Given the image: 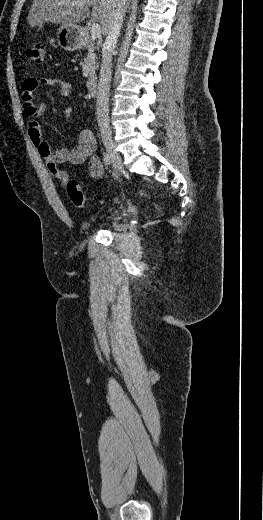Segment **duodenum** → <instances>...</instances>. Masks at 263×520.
Instances as JSON below:
<instances>
[{
    "mask_svg": "<svg viewBox=\"0 0 263 520\" xmlns=\"http://www.w3.org/2000/svg\"><path fill=\"white\" fill-rule=\"evenodd\" d=\"M87 91L91 96H95L97 94L98 87V79L96 75H90L86 81Z\"/></svg>",
    "mask_w": 263,
    "mask_h": 520,
    "instance_id": "duodenum-1",
    "label": "duodenum"
}]
</instances>
